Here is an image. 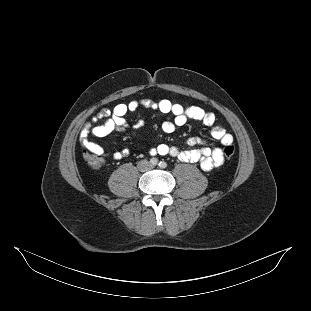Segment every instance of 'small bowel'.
Segmentation results:
<instances>
[{
    "instance_id": "1",
    "label": "small bowel",
    "mask_w": 311,
    "mask_h": 311,
    "mask_svg": "<svg viewBox=\"0 0 311 311\" xmlns=\"http://www.w3.org/2000/svg\"><path fill=\"white\" fill-rule=\"evenodd\" d=\"M140 107H152L162 113L173 115V120H167L162 123V130L165 133H172L177 127L184 125L188 119L201 121L210 128L211 136L220 141L223 145L232 143V136L226 130L216 123L215 115L207 112L198 106H183L174 103L168 99H161L158 102L151 100H133L129 103H120L112 110H100L89 122L85 124L80 133V143L85 149L103 154L104 150L100 145L89 140L90 136L105 137L111 132L118 130L123 131L127 127L125 115L136 111ZM104 120L102 124L98 122ZM144 125L142 119L134 125V129H139ZM189 146L201 145L200 148H191L181 150L176 146L160 144L149 149L151 155L172 156L186 163L198 162L200 167L205 171H210L224 163L223 151L219 147H210L205 141L198 137H192L188 140ZM128 155V150H120L111 156L115 159H121Z\"/></svg>"
}]
</instances>
